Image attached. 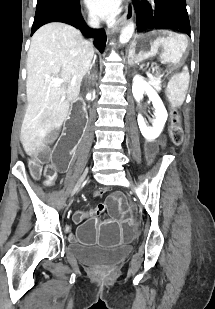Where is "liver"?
Listing matches in <instances>:
<instances>
[{"mask_svg":"<svg viewBox=\"0 0 215 309\" xmlns=\"http://www.w3.org/2000/svg\"><path fill=\"white\" fill-rule=\"evenodd\" d=\"M93 54L92 42L70 24L49 22L34 32L27 56L28 104L20 132L28 155L42 150L50 132L61 128ZM51 78L64 82L53 86Z\"/></svg>","mask_w":215,"mask_h":309,"instance_id":"1","label":"liver"}]
</instances>
